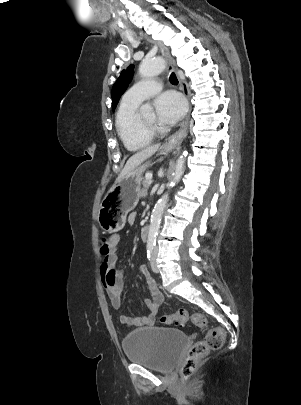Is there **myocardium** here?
I'll list each match as a JSON object with an SVG mask.
<instances>
[{"mask_svg":"<svg viewBox=\"0 0 301 405\" xmlns=\"http://www.w3.org/2000/svg\"><path fill=\"white\" fill-rule=\"evenodd\" d=\"M137 125L141 132L150 136H155L163 131V129L157 124L154 125L145 124L140 117H137Z\"/></svg>","mask_w":301,"mask_h":405,"instance_id":"myocardium-1","label":"myocardium"}]
</instances>
